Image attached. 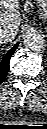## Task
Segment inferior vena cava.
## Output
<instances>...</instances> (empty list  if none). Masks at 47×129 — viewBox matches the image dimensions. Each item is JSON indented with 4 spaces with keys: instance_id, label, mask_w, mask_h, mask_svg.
<instances>
[{
    "instance_id": "602c4592",
    "label": "inferior vena cava",
    "mask_w": 47,
    "mask_h": 129,
    "mask_svg": "<svg viewBox=\"0 0 47 129\" xmlns=\"http://www.w3.org/2000/svg\"><path fill=\"white\" fill-rule=\"evenodd\" d=\"M15 32L13 30L4 28L0 30V41L8 42L12 41L15 38Z\"/></svg>"
}]
</instances>
